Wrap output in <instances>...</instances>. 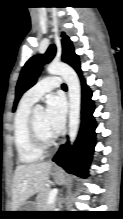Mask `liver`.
<instances>
[{"mask_svg": "<svg viewBox=\"0 0 123 219\" xmlns=\"http://www.w3.org/2000/svg\"><path fill=\"white\" fill-rule=\"evenodd\" d=\"M51 162L18 165L12 182L11 211H18L33 195L41 192L48 180Z\"/></svg>", "mask_w": 123, "mask_h": 219, "instance_id": "liver-1", "label": "liver"}]
</instances>
